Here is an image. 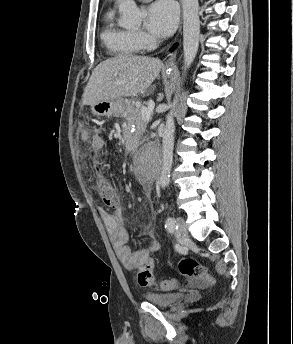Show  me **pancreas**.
<instances>
[{
  "label": "pancreas",
  "mask_w": 293,
  "mask_h": 344,
  "mask_svg": "<svg viewBox=\"0 0 293 344\" xmlns=\"http://www.w3.org/2000/svg\"><path fill=\"white\" fill-rule=\"evenodd\" d=\"M127 124L129 127H131L133 124L140 127L136 132L139 135L143 134V131L145 130L148 121H144L141 116V109L139 108H132L130 111V114L127 117Z\"/></svg>",
  "instance_id": "obj_1"
}]
</instances>
